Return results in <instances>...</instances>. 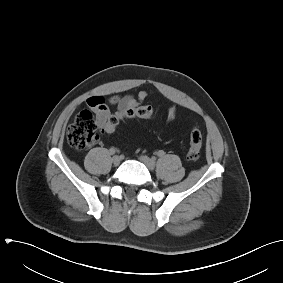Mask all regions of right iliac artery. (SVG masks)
<instances>
[{
    "label": "right iliac artery",
    "instance_id": "obj_1",
    "mask_svg": "<svg viewBox=\"0 0 283 283\" xmlns=\"http://www.w3.org/2000/svg\"><path fill=\"white\" fill-rule=\"evenodd\" d=\"M116 151H117V150H116V148H114V147L110 148V150H109V152H110L111 155L115 154Z\"/></svg>",
    "mask_w": 283,
    "mask_h": 283
}]
</instances>
